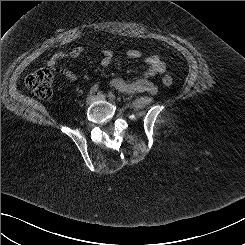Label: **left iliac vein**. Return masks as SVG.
Here are the masks:
<instances>
[{
  "label": "left iliac vein",
  "mask_w": 245,
  "mask_h": 245,
  "mask_svg": "<svg viewBox=\"0 0 245 245\" xmlns=\"http://www.w3.org/2000/svg\"><path fill=\"white\" fill-rule=\"evenodd\" d=\"M96 100H107V97L105 95H98L96 96Z\"/></svg>",
  "instance_id": "left-iliac-vein-1"
}]
</instances>
